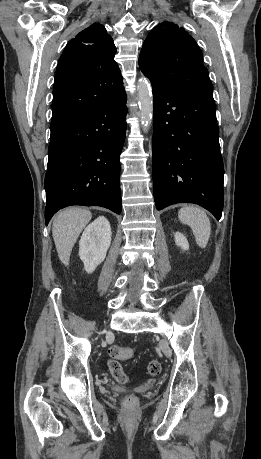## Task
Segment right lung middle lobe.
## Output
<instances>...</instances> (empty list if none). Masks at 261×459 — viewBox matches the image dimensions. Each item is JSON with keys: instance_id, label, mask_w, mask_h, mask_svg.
Returning a JSON list of instances; mask_svg holds the SVG:
<instances>
[{"instance_id": "1", "label": "right lung middle lobe", "mask_w": 261, "mask_h": 459, "mask_svg": "<svg viewBox=\"0 0 261 459\" xmlns=\"http://www.w3.org/2000/svg\"><path fill=\"white\" fill-rule=\"evenodd\" d=\"M63 126H52L51 127V134L57 132L59 129H61Z\"/></svg>"}]
</instances>
